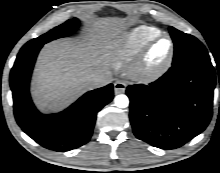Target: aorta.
I'll list each match as a JSON object with an SVG mask.
<instances>
[{"mask_svg":"<svg viewBox=\"0 0 220 173\" xmlns=\"http://www.w3.org/2000/svg\"><path fill=\"white\" fill-rule=\"evenodd\" d=\"M114 103L119 108H126L129 105V99L126 95L120 94L115 97Z\"/></svg>","mask_w":220,"mask_h":173,"instance_id":"762f6f07","label":"aorta"}]
</instances>
